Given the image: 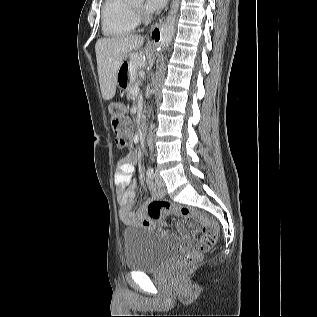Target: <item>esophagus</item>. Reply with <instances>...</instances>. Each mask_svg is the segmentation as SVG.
Here are the masks:
<instances>
[{
    "instance_id": "obj_1",
    "label": "esophagus",
    "mask_w": 317,
    "mask_h": 317,
    "mask_svg": "<svg viewBox=\"0 0 317 317\" xmlns=\"http://www.w3.org/2000/svg\"><path fill=\"white\" fill-rule=\"evenodd\" d=\"M151 38L154 40V43H160L163 41L164 36V22L156 24L151 31Z\"/></svg>"
}]
</instances>
